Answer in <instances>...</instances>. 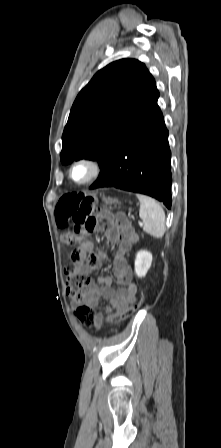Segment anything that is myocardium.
<instances>
[{
  "mask_svg": "<svg viewBox=\"0 0 221 448\" xmlns=\"http://www.w3.org/2000/svg\"><path fill=\"white\" fill-rule=\"evenodd\" d=\"M78 166H84L89 169L90 174L87 178H85L83 180H76L73 177V174H72L73 170ZM102 174H103L102 164L97 159L89 158V157H84V158L75 160L70 165L69 170H68L69 179L77 185L91 184V183L97 181L102 176Z\"/></svg>",
  "mask_w": 221,
  "mask_h": 448,
  "instance_id": "1",
  "label": "myocardium"
}]
</instances>
